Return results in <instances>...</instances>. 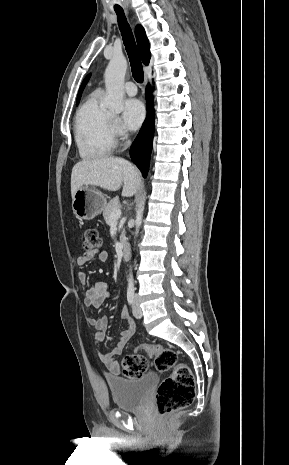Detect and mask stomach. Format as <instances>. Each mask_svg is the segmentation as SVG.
Wrapping results in <instances>:
<instances>
[{"label":"stomach","instance_id":"1","mask_svg":"<svg viewBox=\"0 0 289 465\" xmlns=\"http://www.w3.org/2000/svg\"><path fill=\"white\" fill-rule=\"evenodd\" d=\"M105 196L91 188L81 187L72 198V209L77 218L91 220L98 216L106 206Z\"/></svg>","mask_w":289,"mask_h":465}]
</instances>
